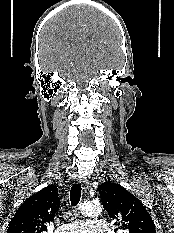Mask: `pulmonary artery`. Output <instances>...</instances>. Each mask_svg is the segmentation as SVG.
<instances>
[{"label": "pulmonary artery", "instance_id": "obj_1", "mask_svg": "<svg viewBox=\"0 0 174 233\" xmlns=\"http://www.w3.org/2000/svg\"><path fill=\"white\" fill-rule=\"evenodd\" d=\"M107 223L102 219L75 221L58 227L55 233H107Z\"/></svg>", "mask_w": 174, "mask_h": 233}]
</instances>
